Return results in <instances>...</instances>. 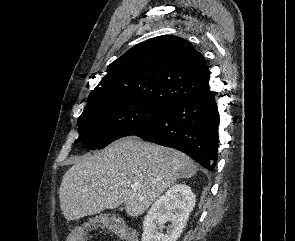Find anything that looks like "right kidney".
Masks as SVG:
<instances>
[{"label":"right kidney","mask_w":295,"mask_h":241,"mask_svg":"<svg viewBox=\"0 0 295 241\" xmlns=\"http://www.w3.org/2000/svg\"><path fill=\"white\" fill-rule=\"evenodd\" d=\"M196 197L186 184H175L160 196L143 221L141 241H176L183 232ZM171 222L166 233L164 224Z\"/></svg>","instance_id":"obj_1"}]
</instances>
